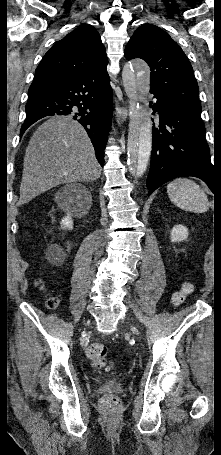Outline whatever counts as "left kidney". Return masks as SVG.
I'll return each instance as SVG.
<instances>
[{
	"instance_id": "5707ae66",
	"label": "left kidney",
	"mask_w": 221,
	"mask_h": 455,
	"mask_svg": "<svg viewBox=\"0 0 221 455\" xmlns=\"http://www.w3.org/2000/svg\"><path fill=\"white\" fill-rule=\"evenodd\" d=\"M188 237V229L183 225L175 226L171 231V241L180 242Z\"/></svg>"
}]
</instances>
